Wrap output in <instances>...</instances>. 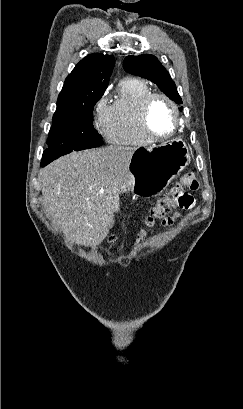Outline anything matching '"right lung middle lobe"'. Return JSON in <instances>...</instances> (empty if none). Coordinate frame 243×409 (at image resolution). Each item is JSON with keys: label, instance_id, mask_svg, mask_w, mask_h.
<instances>
[{"label": "right lung middle lobe", "instance_id": "obj_1", "mask_svg": "<svg viewBox=\"0 0 243 409\" xmlns=\"http://www.w3.org/2000/svg\"><path fill=\"white\" fill-rule=\"evenodd\" d=\"M95 104H57L45 151H79L101 146L103 141L93 127Z\"/></svg>", "mask_w": 243, "mask_h": 409}]
</instances>
